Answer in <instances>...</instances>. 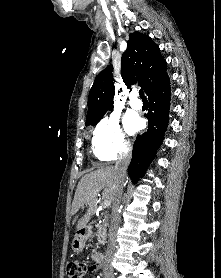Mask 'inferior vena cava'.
<instances>
[{
    "label": "inferior vena cava",
    "mask_w": 221,
    "mask_h": 278,
    "mask_svg": "<svg viewBox=\"0 0 221 278\" xmlns=\"http://www.w3.org/2000/svg\"><path fill=\"white\" fill-rule=\"evenodd\" d=\"M130 160H131V151L129 149H126L120 154V157L115 164V169L117 170L120 182L114 193L115 198L112 207V216H111V222L109 228V240H108V246H107L106 255L103 264L104 272L112 271L111 258L116 249V235L120 223L119 208H120L121 197L123 193L124 179L126 177V171L130 163Z\"/></svg>",
    "instance_id": "obj_1"
}]
</instances>
